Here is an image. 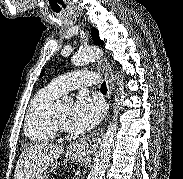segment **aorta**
I'll list each match as a JSON object with an SVG mask.
<instances>
[{
    "label": "aorta",
    "mask_w": 183,
    "mask_h": 179,
    "mask_svg": "<svg viewBox=\"0 0 183 179\" xmlns=\"http://www.w3.org/2000/svg\"><path fill=\"white\" fill-rule=\"evenodd\" d=\"M101 50L98 47L91 46L77 52L71 59L74 66H82L89 62H93L101 55ZM124 88L121 84L117 89V97L115 98L117 109L114 111L112 122H110L106 133L102 139L99 150L96 153L92 170L89 174L88 179H103L105 176L106 169L111 158V154L115 144L116 132H117V120L118 113L120 110V104L124 99ZM63 103L71 104L72 98L65 96L63 97Z\"/></svg>",
    "instance_id": "1"
}]
</instances>
